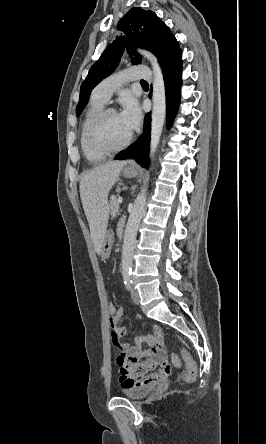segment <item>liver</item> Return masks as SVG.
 <instances>
[{
    "instance_id": "liver-1",
    "label": "liver",
    "mask_w": 266,
    "mask_h": 444,
    "mask_svg": "<svg viewBox=\"0 0 266 444\" xmlns=\"http://www.w3.org/2000/svg\"><path fill=\"white\" fill-rule=\"evenodd\" d=\"M126 164V161H112L99 165L86 172L80 181L81 202L97 254H101L108 225V194Z\"/></svg>"
}]
</instances>
